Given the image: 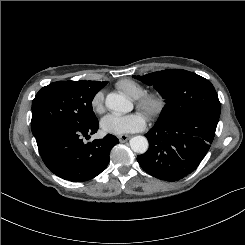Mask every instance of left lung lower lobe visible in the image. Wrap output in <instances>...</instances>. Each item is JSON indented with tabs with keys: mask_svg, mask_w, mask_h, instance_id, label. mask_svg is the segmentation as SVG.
<instances>
[{
	"mask_svg": "<svg viewBox=\"0 0 245 245\" xmlns=\"http://www.w3.org/2000/svg\"><path fill=\"white\" fill-rule=\"evenodd\" d=\"M219 115L195 112L178 121L154 126L145 136L146 153L137 161L148 174L165 181H178L194 171L213 141Z\"/></svg>",
	"mask_w": 245,
	"mask_h": 245,
	"instance_id": "0a47b994",
	"label": "left lung lower lobe"
}]
</instances>
